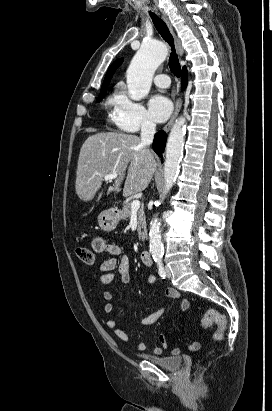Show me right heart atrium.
I'll return each mask as SVG.
<instances>
[{
  "label": "right heart atrium",
  "instance_id": "d8ad5b80",
  "mask_svg": "<svg viewBox=\"0 0 272 411\" xmlns=\"http://www.w3.org/2000/svg\"><path fill=\"white\" fill-rule=\"evenodd\" d=\"M109 107V120L120 131L135 133L155 126L146 108L133 100L122 86L117 87L111 96Z\"/></svg>",
  "mask_w": 272,
  "mask_h": 411
}]
</instances>
